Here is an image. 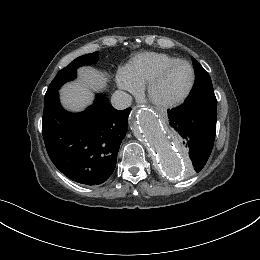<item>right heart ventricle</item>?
<instances>
[{
  "mask_svg": "<svg viewBox=\"0 0 260 260\" xmlns=\"http://www.w3.org/2000/svg\"><path fill=\"white\" fill-rule=\"evenodd\" d=\"M178 60L180 59L165 53H141L129 61L124 72L134 83L143 85L148 83L161 68Z\"/></svg>",
  "mask_w": 260,
  "mask_h": 260,
  "instance_id": "1",
  "label": "right heart ventricle"
}]
</instances>
